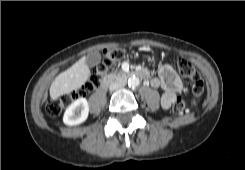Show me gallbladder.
I'll return each instance as SVG.
<instances>
[{
    "label": "gallbladder",
    "mask_w": 245,
    "mask_h": 170,
    "mask_svg": "<svg viewBox=\"0 0 245 170\" xmlns=\"http://www.w3.org/2000/svg\"><path fill=\"white\" fill-rule=\"evenodd\" d=\"M101 60V55L98 51H94L89 53L86 56V65L92 67V66H96Z\"/></svg>",
    "instance_id": "gallbladder-1"
}]
</instances>
